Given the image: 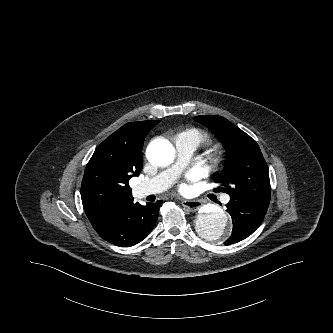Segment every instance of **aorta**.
I'll return each instance as SVG.
<instances>
[{
    "label": "aorta",
    "instance_id": "obj_1",
    "mask_svg": "<svg viewBox=\"0 0 333 333\" xmlns=\"http://www.w3.org/2000/svg\"><path fill=\"white\" fill-rule=\"evenodd\" d=\"M175 156L173 146L166 140L157 139L151 142L146 150V157L154 165L165 166L170 164ZM198 233L212 242L226 239L230 233V224L227 214L218 207L210 209L201 208L196 217Z\"/></svg>",
    "mask_w": 333,
    "mask_h": 333
}]
</instances>
